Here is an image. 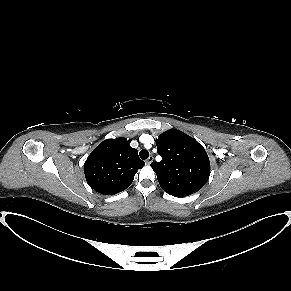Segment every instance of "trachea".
<instances>
[{"mask_svg": "<svg viewBox=\"0 0 291 291\" xmlns=\"http://www.w3.org/2000/svg\"><path fill=\"white\" fill-rule=\"evenodd\" d=\"M141 159L145 160L149 157V152L145 149L141 150L139 153Z\"/></svg>", "mask_w": 291, "mask_h": 291, "instance_id": "3493384b", "label": "trachea"}]
</instances>
